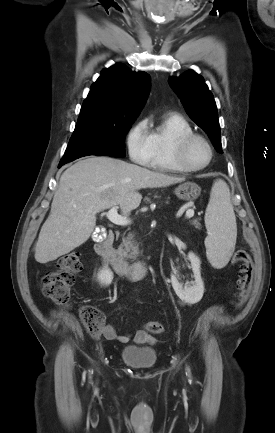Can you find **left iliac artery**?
<instances>
[{"instance_id":"1","label":"left iliac artery","mask_w":275,"mask_h":433,"mask_svg":"<svg viewBox=\"0 0 275 433\" xmlns=\"http://www.w3.org/2000/svg\"><path fill=\"white\" fill-rule=\"evenodd\" d=\"M187 375L190 377V369L189 368H187Z\"/></svg>"}]
</instances>
